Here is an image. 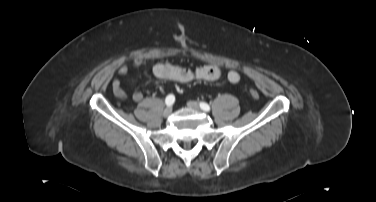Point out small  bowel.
Wrapping results in <instances>:
<instances>
[{"label": "small bowel", "instance_id": "1", "mask_svg": "<svg viewBox=\"0 0 376 202\" xmlns=\"http://www.w3.org/2000/svg\"><path fill=\"white\" fill-rule=\"evenodd\" d=\"M148 60L144 57L137 56L133 59V66L140 68L147 65ZM151 70L153 75L160 80L176 81L181 83H189L194 80L217 81L222 77L221 66L214 63H209L197 67H187L172 62H155L152 63ZM129 71V67L123 64L118 69V74L125 76ZM228 81L232 85H237L240 82V75L231 71L228 74ZM112 92L115 97L120 100H126L127 94L122 87L119 79H114L111 84ZM143 93L136 91L132 95V99L140 102L143 99Z\"/></svg>", "mask_w": 376, "mask_h": 202}]
</instances>
